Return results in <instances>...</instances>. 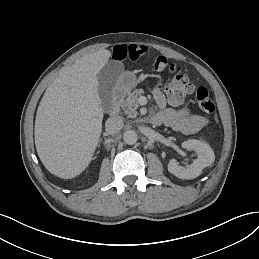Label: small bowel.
Wrapping results in <instances>:
<instances>
[{
  "instance_id": "1",
  "label": "small bowel",
  "mask_w": 259,
  "mask_h": 259,
  "mask_svg": "<svg viewBox=\"0 0 259 259\" xmlns=\"http://www.w3.org/2000/svg\"><path fill=\"white\" fill-rule=\"evenodd\" d=\"M147 48L138 44H120L112 48L111 58L116 62L124 60H138L144 56ZM153 97L159 107V112L152 118L156 125H164L184 134H194L207 125V119L199 114H194L186 107H169L163 91L156 87Z\"/></svg>"
}]
</instances>
